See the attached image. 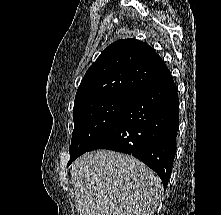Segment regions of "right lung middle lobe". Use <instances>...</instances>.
Masks as SVG:
<instances>
[{"label":"right lung middle lobe","instance_id":"obj_1","mask_svg":"<svg viewBox=\"0 0 221 215\" xmlns=\"http://www.w3.org/2000/svg\"><path fill=\"white\" fill-rule=\"evenodd\" d=\"M131 99L128 96H105L74 105L70 161L89 150Z\"/></svg>","mask_w":221,"mask_h":215}]
</instances>
